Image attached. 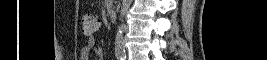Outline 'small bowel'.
Returning a JSON list of instances; mask_svg holds the SVG:
<instances>
[{"mask_svg": "<svg viewBox=\"0 0 267 60\" xmlns=\"http://www.w3.org/2000/svg\"><path fill=\"white\" fill-rule=\"evenodd\" d=\"M85 57L90 55H96L99 59H102V50L97 46V40L94 35H90L87 40V44L83 49Z\"/></svg>", "mask_w": 267, "mask_h": 60, "instance_id": "small-bowel-1", "label": "small bowel"}]
</instances>
